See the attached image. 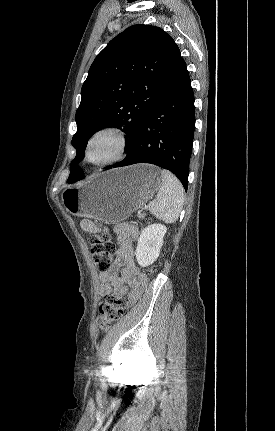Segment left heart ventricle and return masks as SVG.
I'll list each match as a JSON object with an SVG mask.
<instances>
[{
    "mask_svg": "<svg viewBox=\"0 0 275 431\" xmlns=\"http://www.w3.org/2000/svg\"><path fill=\"white\" fill-rule=\"evenodd\" d=\"M116 143L112 136L105 135L92 144L90 148V158L93 161H100L109 157L115 151Z\"/></svg>",
    "mask_w": 275,
    "mask_h": 431,
    "instance_id": "b2bd125f",
    "label": "left heart ventricle"
}]
</instances>
